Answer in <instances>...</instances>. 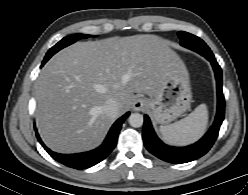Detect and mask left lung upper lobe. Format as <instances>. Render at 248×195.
<instances>
[{
  "instance_id": "1",
  "label": "left lung upper lobe",
  "mask_w": 248,
  "mask_h": 195,
  "mask_svg": "<svg viewBox=\"0 0 248 195\" xmlns=\"http://www.w3.org/2000/svg\"><path fill=\"white\" fill-rule=\"evenodd\" d=\"M178 36L180 38V44L186 48H189L197 53H199V50H206L207 52L212 53V51L210 50V48L206 45V43L200 39L199 37L184 32V31H180L178 32Z\"/></svg>"
}]
</instances>
